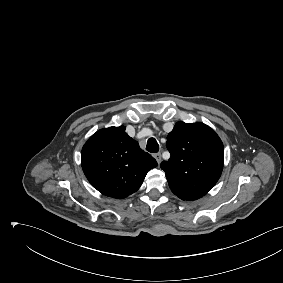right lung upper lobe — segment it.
<instances>
[{
  "instance_id": "obj_1",
  "label": "right lung upper lobe",
  "mask_w": 283,
  "mask_h": 283,
  "mask_svg": "<svg viewBox=\"0 0 283 283\" xmlns=\"http://www.w3.org/2000/svg\"><path fill=\"white\" fill-rule=\"evenodd\" d=\"M81 159L92 186L103 195L118 199L136 192L147 172L158 165L127 135L124 126L97 131L83 146Z\"/></svg>"
}]
</instances>
